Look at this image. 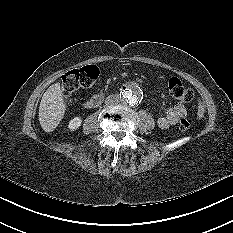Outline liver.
Wrapping results in <instances>:
<instances>
[{
    "mask_svg": "<svg viewBox=\"0 0 233 233\" xmlns=\"http://www.w3.org/2000/svg\"><path fill=\"white\" fill-rule=\"evenodd\" d=\"M66 111L60 83L52 84L43 94L39 106V121L45 132H52L59 125Z\"/></svg>",
    "mask_w": 233,
    "mask_h": 233,
    "instance_id": "6515ba94",
    "label": "liver"
}]
</instances>
